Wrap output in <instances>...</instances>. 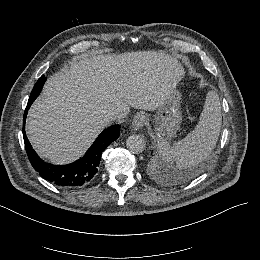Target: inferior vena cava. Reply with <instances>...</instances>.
I'll use <instances>...</instances> for the list:
<instances>
[{
	"label": "inferior vena cava",
	"mask_w": 260,
	"mask_h": 260,
	"mask_svg": "<svg viewBox=\"0 0 260 260\" xmlns=\"http://www.w3.org/2000/svg\"><path fill=\"white\" fill-rule=\"evenodd\" d=\"M117 118H118V115H117L116 112H114V111H109V112L105 115L104 120H107V121L111 122V121L116 120Z\"/></svg>",
	"instance_id": "obj_1"
}]
</instances>
